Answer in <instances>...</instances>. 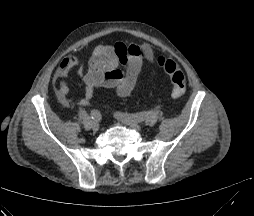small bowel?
Wrapping results in <instances>:
<instances>
[{"instance_id": "1", "label": "small bowel", "mask_w": 254, "mask_h": 216, "mask_svg": "<svg viewBox=\"0 0 254 216\" xmlns=\"http://www.w3.org/2000/svg\"><path fill=\"white\" fill-rule=\"evenodd\" d=\"M155 53L149 44L116 42L98 45L87 67L80 68L76 76L85 86L84 96L78 104L86 106L94 96L95 88L114 89L119 98L127 97L134 89L144 61L155 63ZM80 63L77 56H67L60 63L55 75L56 96L64 106H69V86L66 79L73 67Z\"/></svg>"}]
</instances>
